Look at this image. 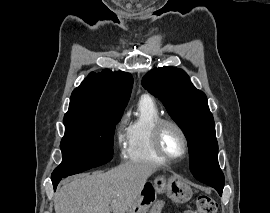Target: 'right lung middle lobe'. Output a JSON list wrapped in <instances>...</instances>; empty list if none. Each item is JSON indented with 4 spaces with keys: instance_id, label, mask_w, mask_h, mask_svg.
Returning <instances> with one entry per match:
<instances>
[{
    "instance_id": "right-lung-middle-lobe-1",
    "label": "right lung middle lobe",
    "mask_w": 270,
    "mask_h": 213,
    "mask_svg": "<svg viewBox=\"0 0 270 213\" xmlns=\"http://www.w3.org/2000/svg\"><path fill=\"white\" fill-rule=\"evenodd\" d=\"M121 115L64 119L65 135L60 144L62 162L53 171L51 180L109 162L113 157L114 128Z\"/></svg>"
}]
</instances>
